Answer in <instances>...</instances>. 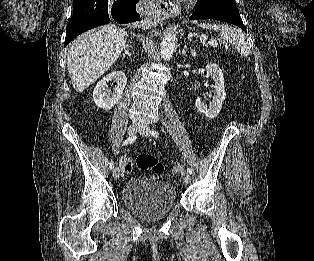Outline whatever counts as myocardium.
<instances>
[{
  "mask_svg": "<svg viewBox=\"0 0 314 261\" xmlns=\"http://www.w3.org/2000/svg\"><path fill=\"white\" fill-rule=\"evenodd\" d=\"M183 1L189 2V1H192V0H183Z\"/></svg>",
  "mask_w": 314,
  "mask_h": 261,
  "instance_id": "obj_1",
  "label": "myocardium"
}]
</instances>
